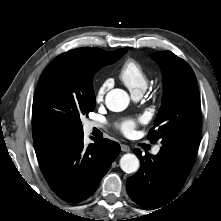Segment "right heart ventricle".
Segmentation results:
<instances>
[{"mask_svg": "<svg viewBox=\"0 0 221 221\" xmlns=\"http://www.w3.org/2000/svg\"><path fill=\"white\" fill-rule=\"evenodd\" d=\"M119 78L131 93L144 92L149 84V76L144 66L135 59L126 60L119 70Z\"/></svg>", "mask_w": 221, "mask_h": 221, "instance_id": "obj_1", "label": "right heart ventricle"}]
</instances>
